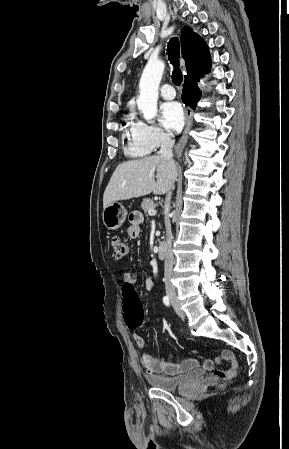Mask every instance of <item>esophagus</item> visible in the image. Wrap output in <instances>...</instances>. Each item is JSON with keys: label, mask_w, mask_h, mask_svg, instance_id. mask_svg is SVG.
<instances>
[{"label": "esophagus", "mask_w": 289, "mask_h": 449, "mask_svg": "<svg viewBox=\"0 0 289 449\" xmlns=\"http://www.w3.org/2000/svg\"><path fill=\"white\" fill-rule=\"evenodd\" d=\"M185 117H186V126L184 132L175 147L176 154H181L188 139V132L190 131L192 125V110L190 107H186L185 109Z\"/></svg>", "instance_id": "obj_1"}]
</instances>
